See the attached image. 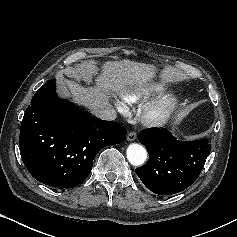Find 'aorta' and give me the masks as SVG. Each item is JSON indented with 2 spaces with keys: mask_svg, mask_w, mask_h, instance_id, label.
Returning <instances> with one entry per match:
<instances>
[{
  "mask_svg": "<svg viewBox=\"0 0 237 237\" xmlns=\"http://www.w3.org/2000/svg\"><path fill=\"white\" fill-rule=\"evenodd\" d=\"M126 153L129 163L134 166L143 165L147 158L146 149L142 145L136 143L130 144Z\"/></svg>",
  "mask_w": 237,
  "mask_h": 237,
  "instance_id": "aorta-1",
  "label": "aorta"
}]
</instances>
